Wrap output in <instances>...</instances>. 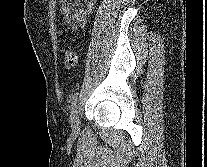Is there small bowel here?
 Returning <instances> with one entry per match:
<instances>
[{
	"label": "small bowel",
	"mask_w": 207,
	"mask_h": 167,
	"mask_svg": "<svg viewBox=\"0 0 207 167\" xmlns=\"http://www.w3.org/2000/svg\"><path fill=\"white\" fill-rule=\"evenodd\" d=\"M96 0H60L64 23L71 29H79L93 10Z\"/></svg>",
	"instance_id": "1"
}]
</instances>
